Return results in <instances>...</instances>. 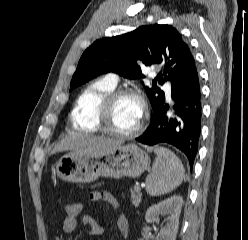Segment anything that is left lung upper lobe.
I'll return each instance as SVG.
<instances>
[{
  "label": "left lung upper lobe",
  "instance_id": "5c2ea615",
  "mask_svg": "<svg viewBox=\"0 0 248 240\" xmlns=\"http://www.w3.org/2000/svg\"><path fill=\"white\" fill-rule=\"evenodd\" d=\"M138 61L146 66H163L165 77L159 73L156 78L161 85L169 80L173 86L196 68L190 48L177 29L171 25H146L120 36L99 39L88 47L72 77L70 91L108 72L128 79L144 77ZM145 90L156 112L165 102L164 92L155 85Z\"/></svg>",
  "mask_w": 248,
  "mask_h": 240
}]
</instances>
